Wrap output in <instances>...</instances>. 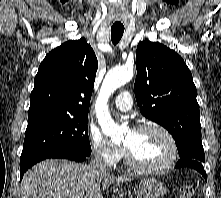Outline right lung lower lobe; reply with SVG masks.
<instances>
[{
  "mask_svg": "<svg viewBox=\"0 0 221 198\" xmlns=\"http://www.w3.org/2000/svg\"><path fill=\"white\" fill-rule=\"evenodd\" d=\"M88 156L81 154L79 152H75L72 150L66 149H54L48 150L42 153L35 155L34 157L30 158L29 160L20 164V180L22 179L24 173L34 164L39 161H42L47 158H62V159H69L74 160L77 162L84 161Z\"/></svg>",
  "mask_w": 221,
  "mask_h": 198,
  "instance_id": "98d812e1",
  "label": "right lung lower lobe"
}]
</instances>
